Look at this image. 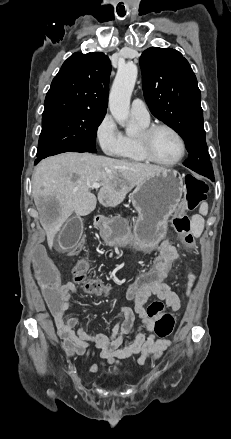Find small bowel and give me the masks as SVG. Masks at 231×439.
<instances>
[{"label":"small bowel","instance_id":"1","mask_svg":"<svg viewBox=\"0 0 231 439\" xmlns=\"http://www.w3.org/2000/svg\"><path fill=\"white\" fill-rule=\"evenodd\" d=\"M178 257L177 250L169 242H163L155 260L162 257ZM195 276L193 273L188 275L187 294L193 286ZM170 283H145L136 290L135 298H127L134 301V306H122L120 316L109 334L97 333L90 335L86 332L85 326L81 325L75 317H67L69 301L73 294H76L77 285L67 282L57 287V293L63 296V306L58 313H52L57 335L61 340V347L67 356L76 358L91 352L90 347L94 345L99 351L100 358L104 363L122 366V361L134 354H138L137 363L142 365L149 358L154 360L169 348L168 339H157L153 325L156 317L163 312L166 305L171 312H177L181 307L179 295L171 290ZM107 294V293H105ZM101 295V294H98ZM149 296V297H148ZM150 297L157 298L148 307L146 304ZM136 316L139 318L138 332L134 340L127 346L121 348L124 337L129 334L135 324ZM147 332V334H146ZM98 365H92L91 370L96 371Z\"/></svg>","mask_w":231,"mask_h":439}]
</instances>
